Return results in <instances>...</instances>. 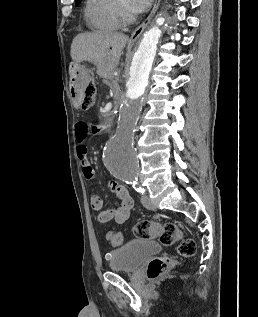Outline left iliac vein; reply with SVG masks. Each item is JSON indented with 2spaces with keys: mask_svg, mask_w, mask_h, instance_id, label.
Segmentation results:
<instances>
[{
  "mask_svg": "<svg viewBox=\"0 0 258 317\" xmlns=\"http://www.w3.org/2000/svg\"><path fill=\"white\" fill-rule=\"evenodd\" d=\"M140 198V201H142V203L147 209L155 210V205H153L151 198L148 197L147 194H142Z\"/></svg>",
  "mask_w": 258,
  "mask_h": 317,
  "instance_id": "obj_1",
  "label": "left iliac vein"
}]
</instances>
